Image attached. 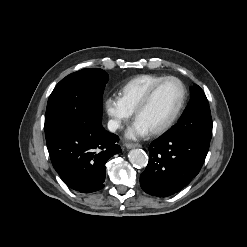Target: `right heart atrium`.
<instances>
[{
	"mask_svg": "<svg viewBox=\"0 0 247 247\" xmlns=\"http://www.w3.org/2000/svg\"><path fill=\"white\" fill-rule=\"evenodd\" d=\"M104 107L109 117V127L111 130L122 128L123 124L130 119L132 114L118 96H108L104 101Z\"/></svg>",
	"mask_w": 247,
	"mask_h": 247,
	"instance_id": "1",
	"label": "right heart atrium"
}]
</instances>
